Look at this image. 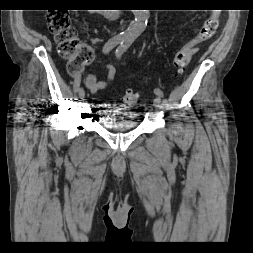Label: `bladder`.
I'll use <instances>...</instances> for the list:
<instances>
[{
  "mask_svg": "<svg viewBox=\"0 0 253 253\" xmlns=\"http://www.w3.org/2000/svg\"><path fill=\"white\" fill-rule=\"evenodd\" d=\"M116 111L104 110L99 116L103 128L114 132L131 131L138 127L139 123L129 112L127 107L116 106Z\"/></svg>",
  "mask_w": 253,
  "mask_h": 253,
  "instance_id": "bladder-1",
  "label": "bladder"
}]
</instances>
